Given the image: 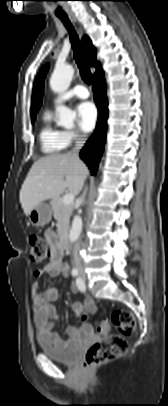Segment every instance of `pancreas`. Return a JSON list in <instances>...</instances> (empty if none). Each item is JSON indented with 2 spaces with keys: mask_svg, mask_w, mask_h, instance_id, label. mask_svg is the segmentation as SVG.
Segmentation results:
<instances>
[{
  "mask_svg": "<svg viewBox=\"0 0 168 406\" xmlns=\"http://www.w3.org/2000/svg\"><path fill=\"white\" fill-rule=\"evenodd\" d=\"M51 207L54 214V218L58 222V235L64 237L69 229L70 216L73 212L72 204H63L61 197L53 198L51 201Z\"/></svg>",
  "mask_w": 168,
  "mask_h": 406,
  "instance_id": "obj_1",
  "label": "pancreas"
}]
</instances>
